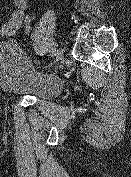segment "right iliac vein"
I'll return each instance as SVG.
<instances>
[{"label":"right iliac vein","mask_w":131,"mask_h":177,"mask_svg":"<svg viewBox=\"0 0 131 177\" xmlns=\"http://www.w3.org/2000/svg\"><path fill=\"white\" fill-rule=\"evenodd\" d=\"M59 54H60V51H59V50H57V51L54 53L55 59H57V58L59 57Z\"/></svg>","instance_id":"obj_1"}]
</instances>
